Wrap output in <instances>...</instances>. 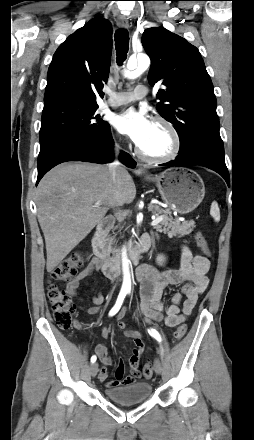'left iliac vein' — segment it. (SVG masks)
I'll use <instances>...</instances> for the list:
<instances>
[{
	"mask_svg": "<svg viewBox=\"0 0 254 440\" xmlns=\"http://www.w3.org/2000/svg\"><path fill=\"white\" fill-rule=\"evenodd\" d=\"M153 368H154V371L156 374H158V375L162 374L163 369H162V364L159 359H155L154 364H153Z\"/></svg>",
	"mask_w": 254,
	"mask_h": 440,
	"instance_id": "obj_1",
	"label": "left iliac vein"
}]
</instances>
